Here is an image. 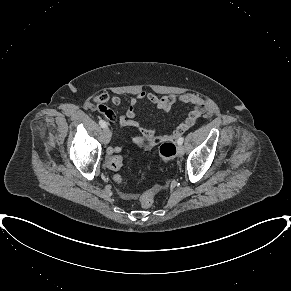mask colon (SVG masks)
<instances>
[{
    "label": "colon",
    "instance_id": "5ec220e1",
    "mask_svg": "<svg viewBox=\"0 0 291 291\" xmlns=\"http://www.w3.org/2000/svg\"><path fill=\"white\" fill-rule=\"evenodd\" d=\"M177 153L176 146L173 141H166L159 148V155L165 161L172 160ZM108 168L114 172L120 171L123 166V158L118 153L109 156L107 161ZM115 181L122 185L123 179L119 174L114 177ZM155 189H149L140 196V204L143 208H150L154 203Z\"/></svg>",
    "mask_w": 291,
    "mask_h": 291
}]
</instances>
